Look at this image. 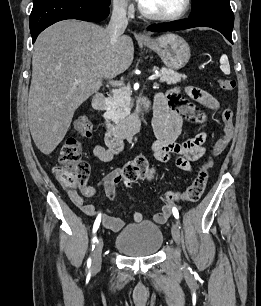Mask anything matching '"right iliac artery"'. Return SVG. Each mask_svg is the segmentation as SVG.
Segmentation results:
<instances>
[{
	"mask_svg": "<svg viewBox=\"0 0 261 306\" xmlns=\"http://www.w3.org/2000/svg\"><path fill=\"white\" fill-rule=\"evenodd\" d=\"M100 221H101V217H100V215L96 218V220H95V222H94V225H93V234H95L96 232H97V230H98V228H99V226H100ZM97 241V238L96 237H94L93 238V243L95 244V242ZM92 245V250L95 248V245ZM87 265H88V267H90V265H91V258H89L88 259V261H87Z\"/></svg>",
	"mask_w": 261,
	"mask_h": 306,
	"instance_id": "right-iliac-artery-1",
	"label": "right iliac artery"
}]
</instances>
